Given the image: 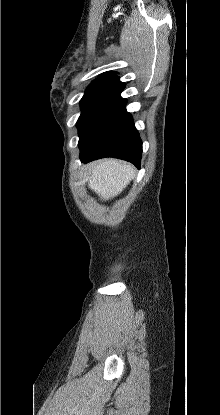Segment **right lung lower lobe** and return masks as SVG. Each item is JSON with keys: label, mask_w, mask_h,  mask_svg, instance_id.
<instances>
[{"label": "right lung lower lobe", "mask_w": 220, "mask_h": 415, "mask_svg": "<svg viewBox=\"0 0 220 415\" xmlns=\"http://www.w3.org/2000/svg\"><path fill=\"white\" fill-rule=\"evenodd\" d=\"M141 155L142 141L125 107L111 118L90 149L80 151V159L84 163L114 157L129 161L137 168H140Z\"/></svg>", "instance_id": "1"}]
</instances>
